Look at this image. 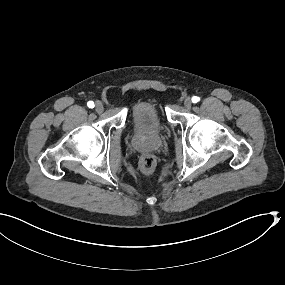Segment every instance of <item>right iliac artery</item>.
Instances as JSON below:
<instances>
[{
	"instance_id": "1",
	"label": "right iliac artery",
	"mask_w": 285,
	"mask_h": 285,
	"mask_svg": "<svg viewBox=\"0 0 285 285\" xmlns=\"http://www.w3.org/2000/svg\"><path fill=\"white\" fill-rule=\"evenodd\" d=\"M87 106H88L89 108H93L95 105H94V102H93V101H89V102L87 103Z\"/></svg>"
}]
</instances>
